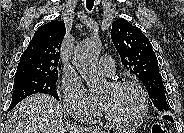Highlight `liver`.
<instances>
[{
    "instance_id": "6515ba94",
    "label": "liver",
    "mask_w": 184,
    "mask_h": 133,
    "mask_svg": "<svg viewBox=\"0 0 184 133\" xmlns=\"http://www.w3.org/2000/svg\"><path fill=\"white\" fill-rule=\"evenodd\" d=\"M7 133H96L68 125L59 102L46 94L27 97L8 114Z\"/></svg>"
}]
</instances>
